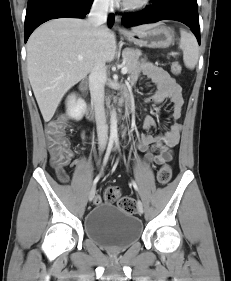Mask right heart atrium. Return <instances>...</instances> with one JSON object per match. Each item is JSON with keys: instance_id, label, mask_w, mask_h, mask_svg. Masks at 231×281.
Masks as SVG:
<instances>
[{"instance_id": "d8ad5b80", "label": "right heart atrium", "mask_w": 231, "mask_h": 281, "mask_svg": "<svg viewBox=\"0 0 231 281\" xmlns=\"http://www.w3.org/2000/svg\"><path fill=\"white\" fill-rule=\"evenodd\" d=\"M95 2L102 7H108L110 5V0H95Z\"/></svg>"}]
</instances>
